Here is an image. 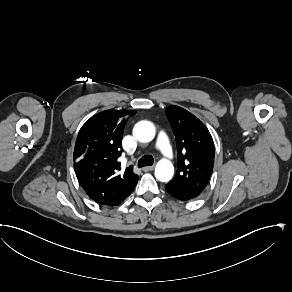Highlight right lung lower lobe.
Wrapping results in <instances>:
<instances>
[{
	"label": "right lung lower lobe",
	"mask_w": 292,
	"mask_h": 292,
	"mask_svg": "<svg viewBox=\"0 0 292 292\" xmlns=\"http://www.w3.org/2000/svg\"><path fill=\"white\" fill-rule=\"evenodd\" d=\"M134 188H135V187H134ZM134 188L129 192V194H128L126 197H128V196L132 193V191L134 190ZM126 197H125V198H126ZM125 198H124V199H125ZM124 199H123V200H124ZM123 200H121L119 203H117V204H115V205L120 204ZM115 205H112V206H115Z\"/></svg>",
	"instance_id": "right-lung-lower-lobe-1"
}]
</instances>
